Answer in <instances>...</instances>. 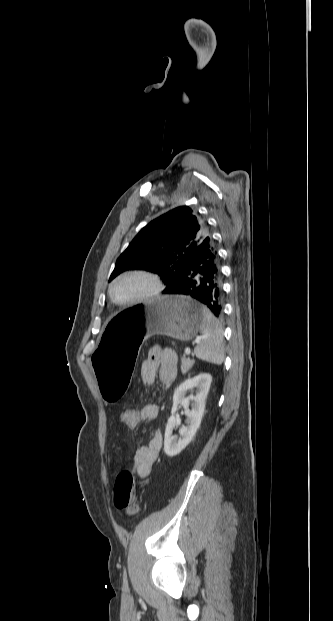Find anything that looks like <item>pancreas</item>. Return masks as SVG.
<instances>
[{"instance_id": "1", "label": "pancreas", "mask_w": 333, "mask_h": 621, "mask_svg": "<svg viewBox=\"0 0 333 621\" xmlns=\"http://www.w3.org/2000/svg\"><path fill=\"white\" fill-rule=\"evenodd\" d=\"M194 363H195L194 359L183 357L181 359V372H182V374H186L192 368Z\"/></svg>"}]
</instances>
